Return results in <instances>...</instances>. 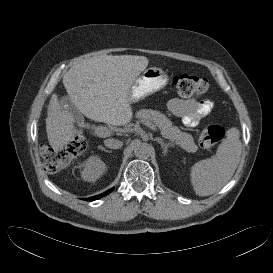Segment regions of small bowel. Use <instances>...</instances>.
I'll list each match as a JSON object with an SVG mask.
<instances>
[{"mask_svg": "<svg viewBox=\"0 0 273 273\" xmlns=\"http://www.w3.org/2000/svg\"><path fill=\"white\" fill-rule=\"evenodd\" d=\"M211 100H181L173 98L167 102V109L182 118L183 123L190 128L196 127L200 120L208 116L213 110Z\"/></svg>", "mask_w": 273, "mask_h": 273, "instance_id": "1", "label": "small bowel"}]
</instances>
